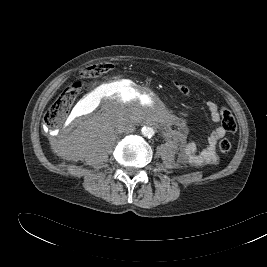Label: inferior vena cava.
<instances>
[{
	"mask_svg": "<svg viewBox=\"0 0 267 267\" xmlns=\"http://www.w3.org/2000/svg\"><path fill=\"white\" fill-rule=\"evenodd\" d=\"M135 130V127L130 123H121L118 125V131L121 133H130Z\"/></svg>",
	"mask_w": 267,
	"mask_h": 267,
	"instance_id": "inferior-vena-cava-1",
	"label": "inferior vena cava"
}]
</instances>
